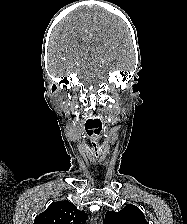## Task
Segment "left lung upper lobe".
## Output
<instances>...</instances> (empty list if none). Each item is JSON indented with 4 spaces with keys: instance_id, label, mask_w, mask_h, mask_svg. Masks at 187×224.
<instances>
[{
    "instance_id": "1",
    "label": "left lung upper lobe",
    "mask_w": 187,
    "mask_h": 224,
    "mask_svg": "<svg viewBox=\"0 0 187 224\" xmlns=\"http://www.w3.org/2000/svg\"><path fill=\"white\" fill-rule=\"evenodd\" d=\"M105 224H149L142 211L129 204L119 212L108 211L105 215Z\"/></svg>"
}]
</instances>
